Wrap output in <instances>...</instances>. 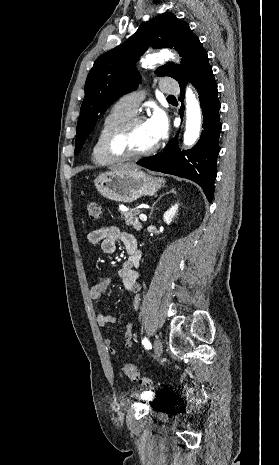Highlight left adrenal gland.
Returning a JSON list of instances; mask_svg holds the SVG:
<instances>
[{
	"label": "left adrenal gland",
	"instance_id": "obj_1",
	"mask_svg": "<svg viewBox=\"0 0 279 465\" xmlns=\"http://www.w3.org/2000/svg\"><path fill=\"white\" fill-rule=\"evenodd\" d=\"M171 193L176 194V190H175V189H171L170 192H167V193H165V194L160 195V197H159V198L154 202V204L152 205L149 218H151L152 213H153V210H154V207H155V205L157 204V202H158L163 196L168 195V194H171Z\"/></svg>",
	"mask_w": 279,
	"mask_h": 465
}]
</instances>
